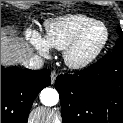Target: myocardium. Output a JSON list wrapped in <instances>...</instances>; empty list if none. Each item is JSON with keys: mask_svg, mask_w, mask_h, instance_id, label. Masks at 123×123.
Returning a JSON list of instances; mask_svg holds the SVG:
<instances>
[{"mask_svg": "<svg viewBox=\"0 0 123 123\" xmlns=\"http://www.w3.org/2000/svg\"><path fill=\"white\" fill-rule=\"evenodd\" d=\"M101 26L105 31V36L101 44L97 47V49L89 55L87 58L82 60H76L73 57V53L80 43V41L83 39V37L94 27ZM109 30L106 27V25L100 21H94L93 23L89 24L88 26L84 27L82 30H80L74 38L69 42V44L65 47L63 50V60L65 64L71 68V69H83L92 64L98 56L102 53L104 48L106 47L108 41H109Z\"/></svg>", "mask_w": 123, "mask_h": 123, "instance_id": "obj_1", "label": "myocardium"}]
</instances>
